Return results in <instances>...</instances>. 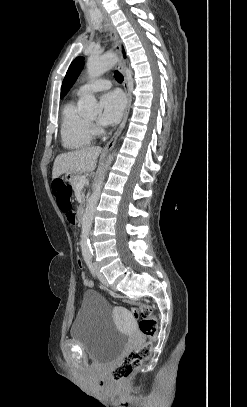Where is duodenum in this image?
<instances>
[{
  "mask_svg": "<svg viewBox=\"0 0 247 407\" xmlns=\"http://www.w3.org/2000/svg\"><path fill=\"white\" fill-rule=\"evenodd\" d=\"M84 215H85V208H84V207H81V208L78 210V222H81V221L83 220Z\"/></svg>",
  "mask_w": 247,
  "mask_h": 407,
  "instance_id": "1",
  "label": "duodenum"
}]
</instances>
